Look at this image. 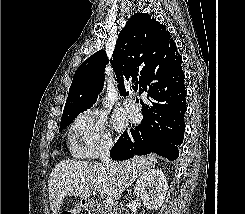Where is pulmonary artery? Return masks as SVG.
<instances>
[{
    "label": "pulmonary artery",
    "mask_w": 245,
    "mask_h": 214,
    "mask_svg": "<svg viewBox=\"0 0 245 214\" xmlns=\"http://www.w3.org/2000/svg\"><path fill=\"white\" fill-rule=\"evenodd\" d=\"M124 106L130 116L138 115L139 109L133 100L131 99L126 100L124 103Z\"/></svg>",
    "instance_id": "1"
}]
</instances>
